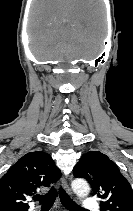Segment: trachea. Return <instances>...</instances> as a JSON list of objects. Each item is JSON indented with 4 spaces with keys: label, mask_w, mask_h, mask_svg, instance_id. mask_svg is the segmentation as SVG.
I'll use <instances>...</instances> for the list:
<instances>
[{
    "label": "trachea",
    "mask_w": 133,
    "mask_h": 211,
    "mask_svg": "<svg viewBox=\"0 0 133 211\" xmlns=\"http://www.w3.org/2000/svg\"><path fill=\"white\" fill-rule=\"evenodd\" d=\"M57 195V190L52 187L47 194L37 195L33 198L41 203L42 209H50L54 204ZM59 196L62 204L70 211H86L82 207L78 206L62 188L59 190Z\"/></svg>",
    "instance_id": "obj_1"
}]
</instances>
